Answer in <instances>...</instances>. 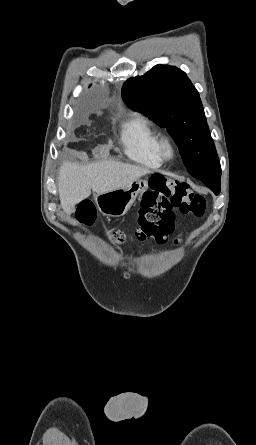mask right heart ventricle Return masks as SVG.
I'll use <instances>...</instances> for the list:
<instances>
[{"label":"right heart ventricle","instance_id":"1","mask_svg":"<svg viewBox=\"0 0 256 445\" xmlns=\"http://www.w3.org/2000/svg\"><path fill=\"white\" fill-rule=\"evenodd\" d=\"M159 138L150 120L141 114L133 115L121 127L120 140L125 154L151 168L163 164L157 148Z\"/></svg>","mask_w":256,"mask_h":445}]
</instances>
